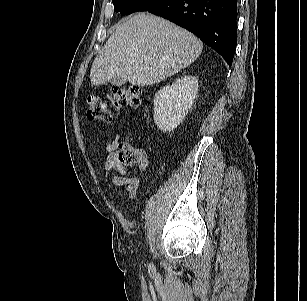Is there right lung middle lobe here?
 I'll use <instances>...</instances> for the list:
<instances>
[{"label": "right lung middle lobe", "instance_id": "1", "mask_svg": "<svg viewBox=\"0 0 307 301\" xmlns=\"http://www.w3.org/2000/svg\"><path fill=\"white\" fill-rule=\"evenodd\" d=\"M157 0H112L114 10L123 15L142 11L145 7Z\"/></svg>", "mask_w": 307, "mask_h": 301}]
</instances>
